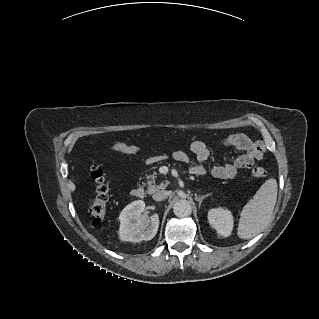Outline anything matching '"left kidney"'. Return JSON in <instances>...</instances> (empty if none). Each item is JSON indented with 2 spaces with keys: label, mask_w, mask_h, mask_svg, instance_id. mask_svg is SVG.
Returning a JSON list of instances; mask_svg holds the SVG:
<instances>
[{
  "label": "left kidney",
  "mask_w": 319,
  "mask_h": 319,
  "mask_svg": "<svg viewBox=\"0 0 319 319\" xmlns=\"http://www.w3.org/2000/svg\"><path fill=\"white\" fill-rule=\"evenodd\" d=\"M209 224L223 237L231 235L233 229V215L228 209L222 207L208 211Z\"/></svg>",
  "instance_id": "5707ae66"
}]
</instances>
